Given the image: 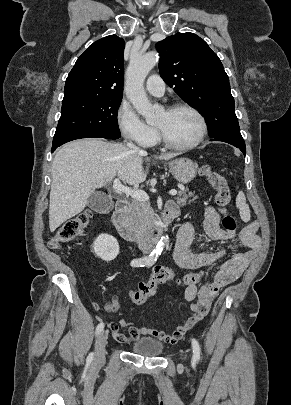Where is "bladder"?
<instances>
[{"label": "bladder", "mask_w": 291, "mask_h": 405, "mask_svg": "<svg viewBox=\"0 0 291 405\" xmlns=\"http://www.w3.org/2000/svg\"><path fill=\"white\" fill-rule=\"evenodd\" d=\"M131 349L136 354L154 357L162 353L163 344L157 339L151 337H143L133 343Z\"/></svg>", "instance_id": "obj_1"}]
</instances>
